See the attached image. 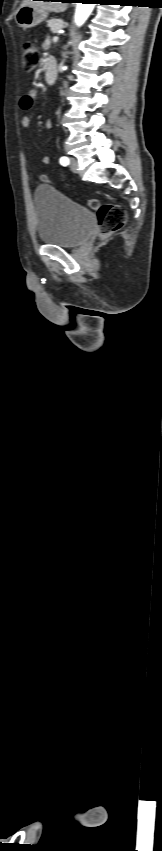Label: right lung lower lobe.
Masks as SVG:
<instances>
[{"mask_svg":"<svg viewBox=\"0 0 162 851\" xmlns=\"http://www.w3.org/2000/svg\"><path fill=\"white\" fill-rule=\"evenodd\" d=\"M44 1H54V0H44ZM63 2H65V1H63Z\"/></svg>","mask_w":162,"mask_h":851,"instance_id":"1","label":"right lung lower lobe"}]
</instances>
